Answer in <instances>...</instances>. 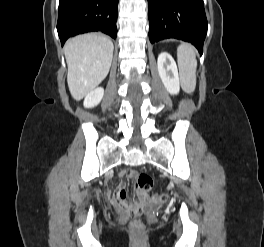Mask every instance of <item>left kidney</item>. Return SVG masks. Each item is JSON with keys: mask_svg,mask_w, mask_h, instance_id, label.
Returning <instances> with one entry per match:
<instances>
[{"mask_svg": "<svg viewBox=\"0 0 264 247\" xmlns=\"http://www.w3.org/2000/svg\"><path fill=\"white\" fill-rule=\"evenodd\" d=\"M157 67L159 76L167 89L172 94H178L180 91V81L176 63L169 53L162 52L158 56Z\"/></svg>", "mask_w": 264, "mask_h": 247, "instance_id": "5707ae66", "label": "left kidney"}]
</instances>
